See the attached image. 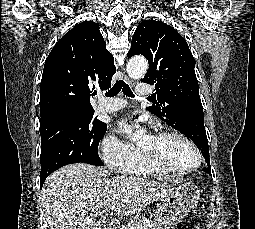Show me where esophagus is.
<instances>
[{
    "mask_svg": "<svg viewBox=\"0 0 255 229\" xmlns=\"http://www.w3.org/2000/svg\"><path fill=\"white\" fill-rule=\"evenodd\" d=\"M123 73H124V76H123V78H124V81L127 83V84H129V85H133V82H132V80L127 76V74H126V72H125V69L123 68Z\"/></svg>",
    "mask_w": 255,
    "mask_h": 229,
    "instance_id": "esophagus-1",
    "label": "esophagus"
}]
</instances>
